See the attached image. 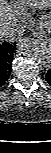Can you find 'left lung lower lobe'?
<instances>
[{
	"instance_id": "left-lung-lower-lobe-1",
	"label": "left lung lower lobe",
	"mask_w": 51,
	"mask_h": 153,
	"mask_svg": "<svg viewBox=\"0 0 51 153\" xmlns=\"http://www.w3.org/2000/svg\"><path fill=\"white\" fill-rule=\"evenodd\" d=\"M46 80L51 85V69L46 74Z\"/></svg>"
}]
</instances>
